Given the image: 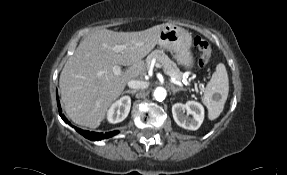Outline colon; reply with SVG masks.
Segmentation results:
<instances>
[{
  "label": "colon",
  "instance_id": "obj_1",
  "mask_svg": "<svg viewBox=\"0 0 287 175\" xmlns=\"http://www.w3.org/2000/svg\"><path fill=\"white\" fill-rule=\"evenodd\" d=\"M193 45L200 52L198 64L200 67H205L211 58V46L207 40L200 36H196L193 40Z\"/></svg>",
  "mask_w": 287,
  "mask_h": 175
}]
</instances>
